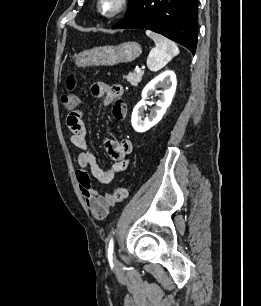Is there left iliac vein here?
Wrapping results in <instances>:
<instances>
[{
	"label": "left iliac vein",
	"instance_id": "1",
	"mask_svg": "<svg viewBox=\"0 0 261 306\" xmlns=\"http://www.w3.org/2000/svg\"><path fill=\"white\" fill-rule=\"evenodd\" d=\"M115 264L118 265V261L117 260H115Z\"/></svg>",
	"mask_w": 261,
	"mask_h": 306
}]
</instances>
